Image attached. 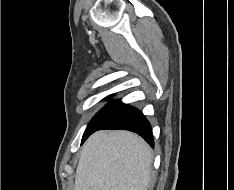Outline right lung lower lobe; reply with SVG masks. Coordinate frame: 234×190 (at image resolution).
Instances as JSON below:
<instances>
[{
	"label": "right lung lower lobe",
	"mask_w": 234,
	"mask_h": 190,
	"mask_svg": "<svg viewBox=\"0 0 234 190\" xmlns=\"http://www.w3.org/2000/svg\"><path fill=\"white\" fill-rule=\"evenodd\" d=\"M102 129L129 130L137 133L151 146L154 147L150 123L140 110L130 105L118 102L109 117L94 131L83 135L82 143L95 131Z\"/></svg>",
	"instance_id": "right-lung-lower-lobe-1"
}]
</instances>
